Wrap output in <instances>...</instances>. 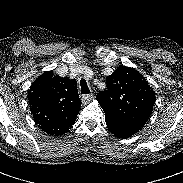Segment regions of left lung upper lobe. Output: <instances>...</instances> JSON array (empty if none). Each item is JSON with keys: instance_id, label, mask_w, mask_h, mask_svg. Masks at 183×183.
I'll list each match as a JSON object with an SVG mask.
<instances>
[{"instance_id": "1", "label": "left lung upper lobe", "mask_w": 183, "mask_h": 183, "mask_svg": "<svg viewBox=\"0 0 183 183\" xmlns=\"http://www.w3.org/2000/svg\"><path fill=\"white\" fill-rule=\"evenodd\" d=\"M107 88L96 99L105 118L122 125L143 127L155 103V93L134 68L119 66L106 77Z\"/></svg>"}]
</instances>
